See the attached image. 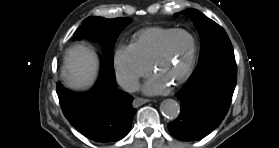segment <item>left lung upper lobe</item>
<instances>
[{
    "label": "left lung upper lobe",
    "mask_w": 279,
    "mask_h": 148,
    "mask_svg": "<svg viewBox=\"0 0 279 148\" xmlns=\"http://www.w3.org/2000/svg\"><path fill=\"white\" fill-rule=\"evenodd\" d=\"M182 14L191 18L201 37L199 65L214 57L234 54L231 41L221 26L195 9L185 10Z\"/></svg>",
    "instance_id": "left-lung-upper-lobe-1"
}]
</instances>
